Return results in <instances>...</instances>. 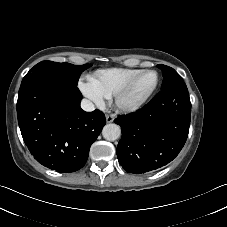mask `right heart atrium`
<instances>
[{"mask_svg":"<svg viewBox=\"0 0 227 227\" xmlns=\"http://www.w3.org/2000/svg\"><path fill=\"white\" fill-rule=\"evenodd\" d=\"M83 94L98 106H102L105 102V97L98 92L90 83L82 85Z\"/></svg>","mask_w":227,"mask_h":227,"instance_id":"d8ad5b80","label":"right heart atrium"}]
</instances>
